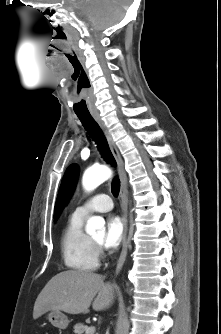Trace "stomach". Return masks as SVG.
Here are the masks:
<instances>
[{
    "label": "stomach",
    "instance_id": "obj_1",
    "mask_svg": "<svg viewBox=\"0 0 221 334\" xmlns=\"http://www.w3.org/2000/svg\"><path fill=\"white\" fill-rule=\"evenodd\" d=\"M49 322L59 329H66L69 324L68 317L59 310H51L47 314Z\"/></svg>",
    "mask_w": 221,
    "mask_h": 334
}]
</instances>
